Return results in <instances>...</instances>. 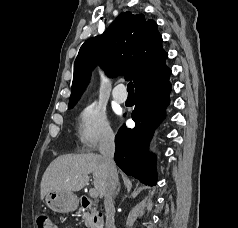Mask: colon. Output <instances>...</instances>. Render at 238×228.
<instances>
[{"label": "colon", "mask_w": 238, "mask_h": 228, "mask_svg": "<svg viewBox=\"0 0 238 228\" xmlns=\"http://www.w3.org/2000/svg\"><path fill=\"white\" fill-rule=\"evenodd\" d=\"M37 228H56L50 216L45 212H40L36 216Z\"/></svg>", "instance_id": "5ec220e1"}]
</instances>
